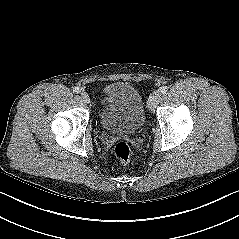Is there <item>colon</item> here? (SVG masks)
I'll return each instance as SVG.
<instances>
[{
	"label": "colon",
	"mask_w": 239,
	"mask_h": 239,
	"mask_svg": "<svg viewBox=\"0 0 239 239\" xmlns=\"http://www.w3.org/2000/svg\"><path fill=\"white\" fill-rule=\"evenodd\" d=\"M131 153V148L126 142L119 141L116 143L114 147V154L120 162L124 164L128 163L131 158Z\"/></svg>",
	"instance_id": "obj_1"
}]
</instances>
